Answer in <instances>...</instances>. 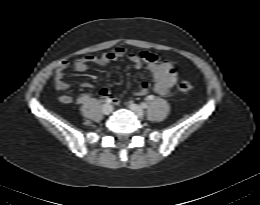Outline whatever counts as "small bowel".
<instances>
[{
  "label": "small bowel",
  "instance_id": "small-bowel-1",
  "mask_svg": "<svg viewBox=\"0 0 260 205\" xmlns=\"http://www.w3.org/2000/svg\"><path fill=\"white\" fill-rule=\"evenodd\" d=\"M127 59L134 68L140 69L146 66L152 76L153 89L160 95H167L173 88L177 81V71L173 64L168 60H160L155 54L142 51L140 53H128L124 47H117L114 50L104 53L100 56L88 55L75 60L73 63L70 61H63L55 71L53 77V84L56 90L65 91L70 87V84L65 80L66 71L73 66L76 71H85L91 65L104 66L110 63ZM88 86V85H86ZM149 84L143 82L140 84L137 95H146L149 91ZM100 94L111 100L114 104H119V99L113 95L109 89L103 88ZM87 99L86 95L79 98V102H84ZM59 101L63 104H70L72 97L68 94L59 96Z\"/></svg>",
  "mask_w": 260,
  "mask_h": 205
}]
</instances>
